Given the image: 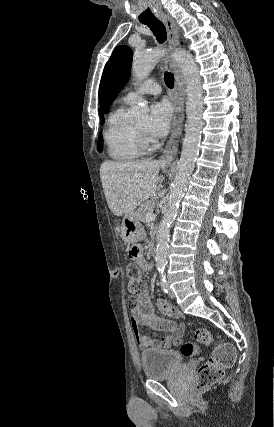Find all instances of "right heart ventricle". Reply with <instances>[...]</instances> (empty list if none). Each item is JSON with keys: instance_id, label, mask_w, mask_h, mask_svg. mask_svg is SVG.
I'll use <instances>...</instances> for the list:
<instances>
[{"instance_id": "e07e8e85", "label": "right heart ventricle", "mask_w": 274, "mask_h": 427, "mask_svg": "<svg viewBox=\"0 0 274 427\" xmlns=\"http://www.w3.org/2000/svg\"><path fill=\"white\" fill-rule=\"evenodd\" d=\"M104 140L107 155L112 160L127 163L140 157L134 139V124L129 120L124 106H119L111 115Z\"/></svg>"}]
</instances>
